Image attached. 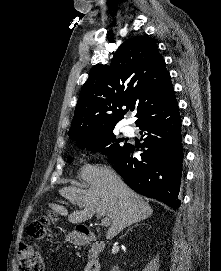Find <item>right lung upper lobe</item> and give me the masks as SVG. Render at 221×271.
I'll list each match as a JSON object with an SVG mask.
<instances>
[{
	"instance_id": "right-lung-upper-lobe-1",
	"label": "right lung upper lobe",
	"mask_w": 221,
	"mask_h": 271,
	"mask_svg": "<svg viewBox=\"0 0 221 271\" xmlns=\"http://www.w3.org/2000/svg\"><path fill=\"white\" fill-rule=\"evenodd\" d=\"M175 101L170 74L156 43L136 37L120 45L110 66L100 64L91 71L68 135L74 140L112 129L131 107L138 110L137 123ZM122 106L127 109L122 111Z\"/></svg>"
}]
</instances>
